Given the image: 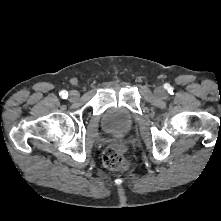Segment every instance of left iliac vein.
I'll list each match as a JSON object with an SVG mask.
<instances>
[{
  "instance_id": "left-iliac-vein-1",
  "label": "left iliac vein",
  "mask_w": 221,
  "mask_h": 221,
  "mask_svg": "<svg viewBox=\"0 0 221 221\" xmlns=\"http://www.w3.org/2000/svg\"><path fill=\"white\" fill-rule=\"evenodd\" d=\"M155 93L158 96H163L164 95V90L162 88L158 87V88H156Z\"/></svg>"
}]
</instances>
